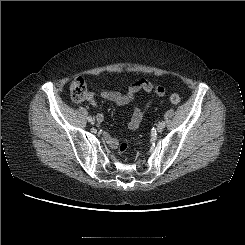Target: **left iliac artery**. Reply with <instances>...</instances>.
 <instances>
[{"mask_svg":"<svg viewBox=\"0 0 245 245\" xmlns=\"http://www.w3.org/2000/svg\"><path fill=\"white\" fill-rule=\"evenodd\" d=\"M160 124H162V125L165 127V124H166V123H165L164 121H162Z\"/></svg>","mask_w":245,"mask_h":245,"instance_id":"44dca946","label":"left iliac artery"}]
</instances>
